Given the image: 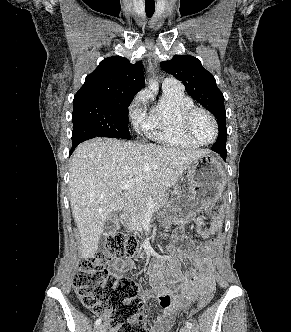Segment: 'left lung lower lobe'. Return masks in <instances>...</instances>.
Here are the masks:
<instances>
[{"label":"left lung lower lobe","mask_w":291,"mask_h":332,"mask_svg":"<svg viewBox=\"0 0 291 332\" xmlns=\"http://www.w3.org/2000/svg\"><path fill=\"white\" fill-rule=\"evenodd\" d=\"M212 150L220 154L221 157L226 160L227 150L225 145H214L212 146Z\"/></svg>","instance_id":"left-lung-lower-lobe-1"}]
</instances>
